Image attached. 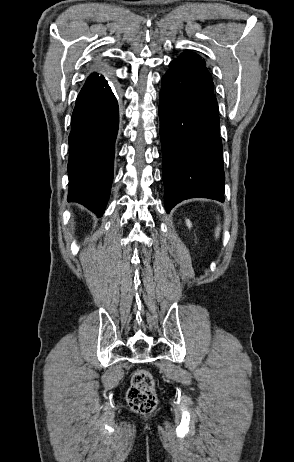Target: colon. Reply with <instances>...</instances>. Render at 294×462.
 <instances>
[{
    "mask_svg": "<svg viewBox=\"0 0 294 462\" xmlns=\"http://www.w3.org/2000/svg\"><path fill=\"white\" fill-rule=\"evenodd\" d=\"M154 379L146 369L136 371L127 391V401L131 409L137 413L147 414L157 406Z\"/></svg>",
    "mask_w": 294,
    "mask_h": 462,
    "instance_id": "colon-1",
    "label": "colon"
}]
</instances>
